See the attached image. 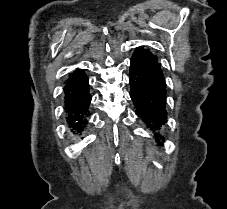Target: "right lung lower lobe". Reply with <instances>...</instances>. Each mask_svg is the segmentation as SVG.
Listing matches in <instances>:
<instances>
[{
  "instance_id": "obj_1",
  "label": "right lung lower lobe",
  "mask_w": 227,
  "mask_h": 209,
  "mask_svg": "<svg viewBox=\"0 0 227 209\" xmlns=\"http://www.w3.org/2000/svg\"><path fill=\"white\" fill-rule=\"evenodd\" d=\"M90 100L88 78L83 70H77L65 86V110L71 131L80 132L87 125Z\"/></svg>"
}]
</instances>
